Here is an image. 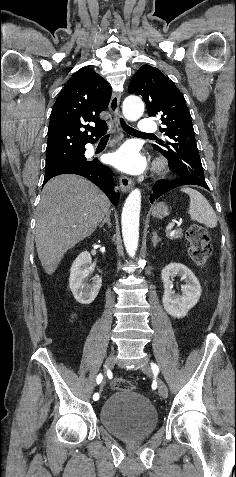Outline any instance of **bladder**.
Returning a JSON list of instances; mask_svg holds the SVG:
<instances>
[{
  "label": "bladder",
  "instance_id": "obj_1",
  "mask_svg": "<svg viewBox=\"0 0 236 477\" xmlns=\"http://www.w3.org/2000/svg\"><path fill=\"white\" fill-rule=\"evenodd\" d=\"M99 415L102 426L123 440L148 438L158 425V414L152 403L133 390H116L101 403Z\"/></svg>",
  "mask_w": 236,
  "mask_h": 477
}]
</instances>
